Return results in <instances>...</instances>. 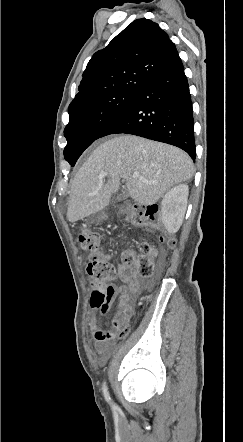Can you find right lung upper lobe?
<instances>
[{"mask_svg":"<svg viewBox=\"0 0 243 442\" xmlns=\"http://www.w3.org/2000/svg\"><path fill=\"white\" fill-rule=\"evenodd\" d=\"M177 55L175 44L157 23L133 21L92 56L68 112L114 92L137 91Z\"/></svg>","mask_w":243,"mask_h":442,"instance_id":"cb5924a9","label":"right lung upper lobe"}]
</instances>
